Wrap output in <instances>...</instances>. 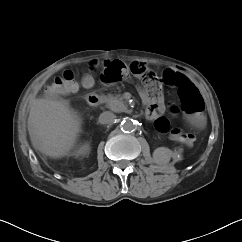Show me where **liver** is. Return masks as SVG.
I'll use <instances>...</instances> for the list:
<instances>
[{"label":"liver","instance_id":"obj_1","mask_svg":"<svg viewBox=\"0 0 242 242\" xmlns=\"http://www.w3.org/2000/svg\"><path fill=\"white\" fill-rule=\"evenodd\" d=\"M27 125L33 148L59 159L70 155L81 132L82 119L69 101L45 97L33 101Z\"/></svg>","mask_w":242,"mask_h":242}]
</instances>
